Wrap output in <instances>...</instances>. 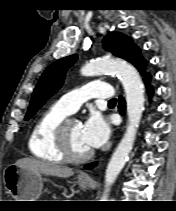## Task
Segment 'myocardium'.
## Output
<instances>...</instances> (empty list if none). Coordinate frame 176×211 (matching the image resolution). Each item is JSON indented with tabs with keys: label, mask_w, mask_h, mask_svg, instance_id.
<instances>
[{
	"label": "myocardium",
	"mask_w": 176,
	"mask_h": 211,
	"mask_svg": "<svg viewBox=\"0 0 176 211\" xmlns=\"http://www.w3.org/2000/svg\"><path fill=\"white\" fill-rule=\"evenodd\" d=\"M72 120L66 117L61 121L55 131V140L57 148L65 161L79 163L88 160L93 155V151L89 150L85 153L77 154L72 150L68 136V125Z\"/></svg>",
	"instance_id": "obj_1"
}]
</instances>
